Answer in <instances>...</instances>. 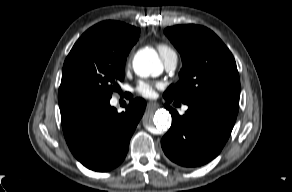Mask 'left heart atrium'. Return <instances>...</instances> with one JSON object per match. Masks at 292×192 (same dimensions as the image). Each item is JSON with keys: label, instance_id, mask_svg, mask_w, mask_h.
Instances as JSON below:
<instances>
[{"label": "left heart atrium", "instance_id": "obj_1", "mask_svg": "<svg viewBox=\"0 0 292 192\" xmlns=\"http://www.w3.org/2000/svg\"><path fill=\"white\" fill-rule=\"evenodd\" d=\"M156 87H158V84L140 81L136 86V92L143 97L152 98L155 95Z\"/></svg>", "mask_w": 292, "mask_h": 192}]
</instances>
